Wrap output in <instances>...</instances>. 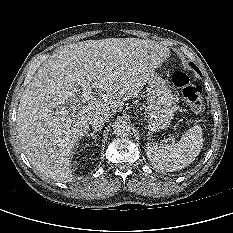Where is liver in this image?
<instances>
[{"instance_id": "liver-1", "label": "liver", "mask_w": 233, "mask_h": 233, "mask_svg": "<svg viewBox=\"0 0 233 233\" xmlns=\"http://www.w3.org/2000/svg\"><path fill=\"white\" fill-rule=\"evenodd\" d=\"M169 54L153 41L108 38L69 44L38 69L22 93L17 132L24 154L41 176L70 182L73 149L89 132V117L107 118L136 97ZM78 77L98 96L79 104ZM68 106V114L58 111Z\"/></svg>"}]
</instances>
